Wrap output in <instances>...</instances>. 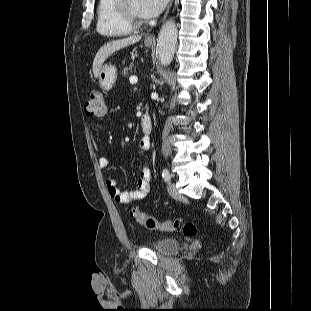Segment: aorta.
<instances>
[{"instance_id": "762f6f07", "label": "aorta", "mask_w": 311, "mask_h": 311, "mask_svg": "<svg viewBox=\"0 0 311 311\" xmlns=\"http://www.w3.org/2000/svg\"><path fill=\"white\" fill-rule=\"evenodd\" d=\"M177 43L176 23L170 19L162 26L157 39V55L162 65L171 63Z\"/></svg>"}]
</instances>
